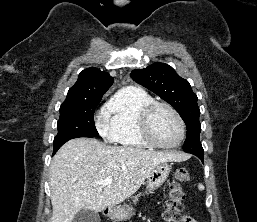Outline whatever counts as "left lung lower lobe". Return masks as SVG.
Segmentation results:
<instances>
[{
  "instance_id": "0a47b994",
  "label": "left lung lower lobe",
  "mask_w": 257,
  "mask_h": 222,
  "mask_svg": "<svg viewBox=\"0 0 257 222\" xmlns=\"http://www.w3.org/2000/svg\"><path fill=\"white\" fill-rule=\"evenodd\" d=\"M204 163V154H194Z\"/></svg>"
}]
</instances>
